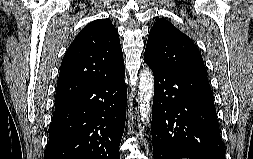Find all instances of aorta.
<instances>
[{
    "label": "aorta",
    "mask_w": 253,
    "mask_h": 159,
    "mask_svg": "<svg viewBox=\"0 0 253 159\" xmlns=\"http://www.w3.org/2000/svg\"><path fill=\"white\" fill-rule=\"evenodd\" d=\"M154 93V77L148 68L143 69L140 73L139 77V113L141 122L145 124L151 112V102L153 99ZM142 131H144V127H142Z\"/></svg>",
    "instance_id": "aorta-1"
}]
</instances>
